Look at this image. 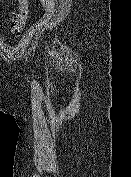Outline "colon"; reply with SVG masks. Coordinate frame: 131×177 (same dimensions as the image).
Returning <instances> with one entry per match:
<instances>
[{
    "label": "colon",
    "mask_w": 131,
    "mask_h": 177,
    "mask_svg": "<svg viewBox=\"0 0 131 177\" xmlns=\"http://www.w3.org/2000/svg\"><path fill=\"white\" fill-rule=\"evenodd\" d=\"M30 16L29 0H18L17 10L10 14V30L18 35L25 28Z\"/></svg>",
    "instance_id": "1"
}]
</instances>
